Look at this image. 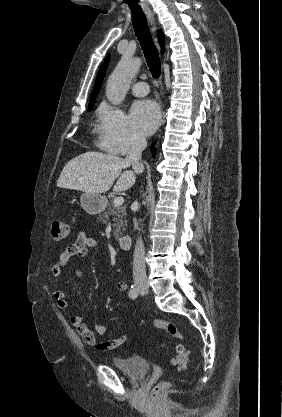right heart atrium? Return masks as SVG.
<instances>
[{
    "label": "right heart atrium",
    "instance_id": "d8ad5b80",
    "mask_svg": "<svg viewBox=\"0 0 282 417\" xmlns=\"http://www.w3.org/2000/svg\"><path fill=\"white\" fill-rule=\"evenodd\" d=\"M96 131L100 146L113 154H131L143 144L142 137L132 128L127 116L119 108L107 107Z\"/></svg>",
    "mask_w": 282,
    "mask_h": 417
}]
</instances>
